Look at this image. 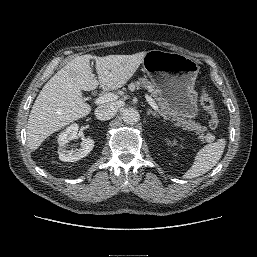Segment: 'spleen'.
<instances>
[{"label": "spleen", "mask_w": 257, "mask_h": 257, "mask_svg": "<svg viewBox=\"0 0 257 257\" xmlns=\"http://www.w3.org/2000/svg\"><path fill=\"white\" fill-rule=\"evenodd\" d=\"M226 145L224 138L204 146L198 151L190 169L183 175L184 179L199 177L211 170L220 160Z\"/></svg>", "instance_id": "spleen-1"}]
</instances>
